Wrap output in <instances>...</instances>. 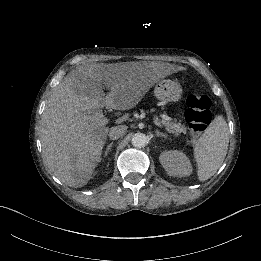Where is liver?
<instances>
[{"mask_svg":"<svg viewBox=\"0 0 261 261\" xmlns=\"http://www.w3.org/2000/svg\"><path fill=\"white\" fill-rule=\"evenodd\" d=\"M167 73L154 63L83 65L70 71L54 88L40 122L44 162L54 176L70 187L86 185L109 132L98 123L102 109L135 107ZM104 87L110 89L107 95Z\"/></svg>","mask_w":261,"mask_h":261,"instance_id":"1","label":"liver"}]
</instances>
